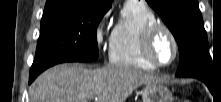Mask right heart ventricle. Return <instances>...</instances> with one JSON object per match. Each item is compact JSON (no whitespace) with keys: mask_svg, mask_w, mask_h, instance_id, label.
Masks as SVG:
<instances>
[{"mask_svg":"<svg viewBox=\"0 0 221 102\" xmlns=\"http://www.w3.org/2000/svg\"><path fill=\"white\" fill-rule=\"evenodd\" d=\"M158 22L154 12L143 2L128 0L124 3L110 38L109 60L113 65L142 70H154L141 51L144 29Z\"/></svg>","mask_w":221,"mask_h":102,"instance_id":"1","label":"right heart ventricle"}]
</instances>
